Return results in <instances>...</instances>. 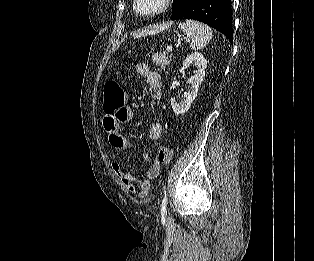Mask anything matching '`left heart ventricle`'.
I'll return each mask as SVG.
<instances>
[{
  "instance_id": "1",
  "label": "left heart ventricle",
  "mask_w": 314,
  "mask_h": 261,
  "mask_svg": "<svg viewBox=\"0 0 314 261\" xmlns=\"http://www.w3.org/2000/svg\"><path fill=\"white\" fill-rule=\"evenodd\" d=\"M162 0H138V9L142 12H150L157 9Z\"/></svg>"
}]
</instances>
